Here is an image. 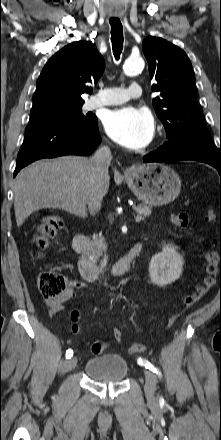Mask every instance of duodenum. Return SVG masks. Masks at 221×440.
<instances>
[{"mask_svg":"<svg viewBox=\"0 0 221 440\" xmlns=\"http://www.w3.org/2000/svg\"><path fill=\"white\" fill-rule=\"evenodd\" d=\"M72 247L78 255L77 267L80 275L89 281L97 280L101 271L97 264L91 260L86 253L87 237L84 234H76L73 238ZM142 248L140 242L136 243L121 259H119L111 268L110 273L113 276H121L126 273L132 262L139 255Z\"/></svg>","mask_w":221,"mask_h":440,"instance_id":"duodenum-1","label":"duodenum"}]
</instances>
